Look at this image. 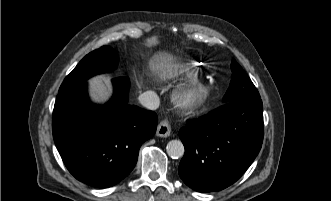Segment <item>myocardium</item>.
I'll return each mask as SVG.
<instances>
[{
	"instance_id": "obj_1",
	"label": "myocardium",
	"mask_w": 331,
	"mask_h": 201,
	"mask_svg": "<svg viewBox=\"0 0 331 201\" xmlns=\"http://www.w3.org/2000/svg\"><path fill=\"white\" fill-rule=\"evenodd\" d=\"M206 89L197 84L179 86L173 93L175 104L183 109H195L203 103Z\"/></svg>"
}]
</instances>
